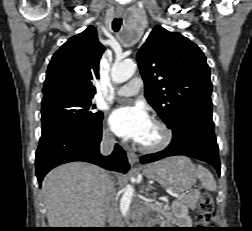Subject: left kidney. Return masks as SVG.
<instances>
[{
	"mask_svg": "<svg viewBox=\"0 0 252 231\" xmlns=\"http://www.w3.org/2000/svg\"><path fill=\"white\" fill-rule=\"evenodd\" d=\"M171 207L174 218L170 219L169 222L178 226V228H191L192 220L188 215L187 207L179 201H174Z\"/></svg>",
	"mask_w": 252,
	"mask_h": 231,
	"instance_id": "5707ae66",
	"label": "left kidney"
}]
</instances>
